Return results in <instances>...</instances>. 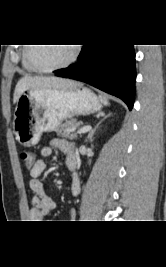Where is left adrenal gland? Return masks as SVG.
Segmentation results:
<instances>
[{
  "mask_svg": "<svg viewBox=\"0 0 166 267\" xmlns=\"http://www.w3.org/2000/svg\"><path fill=\"white\" fill-rule=\"evenodd\" d=\"M102 116H104L103 114H101ZM109 115L107 116H104V118L94 127L93 130H91L87 136V138L85 139V142H87L88 140H91L94 133L96 132V130L99 128V126L101 125V123L108 117Z\"/></svg>",
  "mask_w": 166,
  "mask_h": 267,
  "instance_id": "obj_1",
  "label": "left adrenal gland"
}]
</instances>
